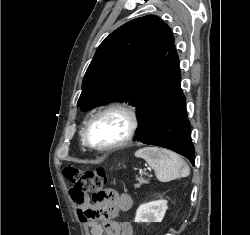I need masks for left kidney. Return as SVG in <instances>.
I'll use <instances>...</instances> for the list:
<instances>
[{"instance_id":"1","label":"left kidney","mask_w":250,"mask_h":235,"mask_svg":"<svg viewBox=\"0 0 250 235\" xmlns=\"http://www.w3.org/2000/svg\"><path fill=\"white\" fill-rule=\"evenodd\" d=\"M168 209L166 200H157L141 204L135 216L137 223L161 222Z\"/></svg>"}]
</instances>
